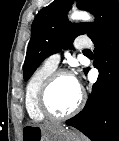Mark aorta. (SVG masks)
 Returning a JSON list of instances; mask_svg holds the SVG:
<instances>
[{
	"label": "aorta",
	"instance_id": "aorta-1",
	"mask_svg": "<svg viewBox=\"0 0 119 141\" xmlns=\"http://www.w3.org/2000/svg\"><path fill=\"white\" fill-rule=\"evenodd\" d=\"M70 18L72 20L92 21L91 16L88 13L82 11H74Z\"/></svg>",
	"mask_w": 119,
	"mask_h": 141
}]
</instances>
